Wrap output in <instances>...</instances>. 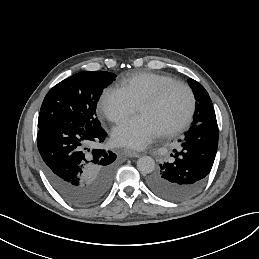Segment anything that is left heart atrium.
I'll use <instances>...</instances> for the list:
<instances>
[{"label":"left heart atrium","instance_id":"obj_1","mask_svg":"<svg viewBox=\"0 0 259 259\" xmlns=\"http://www.w3.org/2000/svg\"><path fill=\"white\" fill-rule=\"evenodd\" d=\"M162 132L144 116H136L120 122L112 131L115 144L132 148H144Z\"/></svg>","mask_w":259,"mask_h":259}]
</instances>
